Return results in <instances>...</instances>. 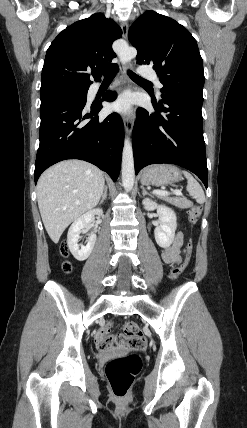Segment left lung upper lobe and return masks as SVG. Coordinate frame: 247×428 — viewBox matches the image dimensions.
I'll list each match as a JSON object with an SVG mask.
<instances>
[{
    "label": "left lung upper lobe",
    "instance_id": "1",
    "mask_svg": "<svg viewBox=\"0 0 247 428\" xmlns=\"http://www.w3.org/2000/svg\"><path fill=\"white\" fill-rule=\"evenodd\" d=\"M137 62L152 65L163 84L161 97L185 95L203 100V60L190 32L175 20L146 11L130 27Z\"/></svg>",
    "mask_w": 247,
    "mask_h": 428
}]
</instances>
